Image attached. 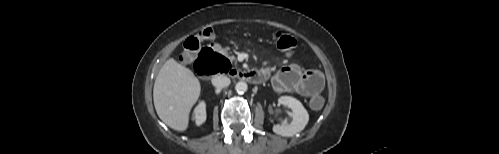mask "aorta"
I'll return each mask as SVG.
<instances>
[{
	"mask_svg": "<svg viewBox=\"0 0 499 154\" xmlns=\"http://www.w3.org/2000/svg\"><path fill=\"white\" fill-rule=\"evenodd\" d=\"M248 89V85L246 82L244 81H240L238 82L236 85H235V91L238 93V94H243L247 91Z\"/></svg>",
	"mask_w": 499,
	"mask_h": 154,
	"instance_id": "762f6f07",
	"label": "aorta"
}]
</instances>
